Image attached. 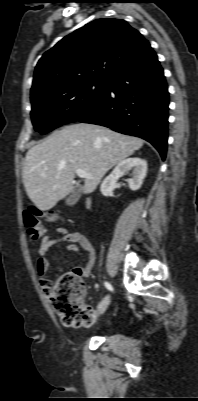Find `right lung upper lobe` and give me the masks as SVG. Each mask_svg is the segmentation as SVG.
I'll return each mask as SVG.
<instances>
[{
    "instance_id": "cb5924a9",
    "label": "right lung upper lobe",
    "mask_w": 198,
    "mask_h": 401,
    "mask_svg": "<svg viewBox=\"0 0 198 401\" xmlns=\"http://www.w3.org/2000/svg\"><path fill=\"white\" fill-rule=\"evenodd\" d=\"M150 48L126 21L102 18L64 37L35 68L31 101L88 81H108Z\"/></svg>"
}]
</instances>
